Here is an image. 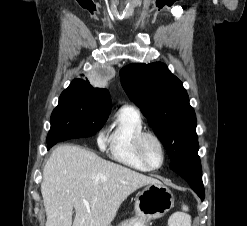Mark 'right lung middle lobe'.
Here are the masks:
<instances>
[{
  "instance_id": "obj_1",
  "label": "right lung middle lobe",
  "mask_w": 247,
  "mask_h": 226,
  "mask_svg": "<svg viewBox=\"0 0 247 226\" xmlns=\"http://www.w3.org/2000/svg\"><path fill=\"white\" fill-rule=\"evenodd\" d=\"M109 114L96 98L66 89L52 112L47 143L92 136L102 128Z\"/></svg>"
}]
</instances>
